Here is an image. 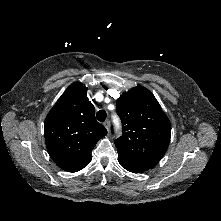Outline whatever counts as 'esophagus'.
<instances>
[{"label":"esophagus","mask_w":221,"mask_h":221,"mask_svg":"<svg viewBox=\"0 0 221 221\" xmlns=\"http://www.w3.org/2000/svg\"><path fill=\"white\" fill-rule=\"evenodd\" d=\"M104 126L107 129V131H109V129H110V121L109 120L105 121L104 122Z\"/></svg>","instance_id":"esophagus-1"}]
</instances>
